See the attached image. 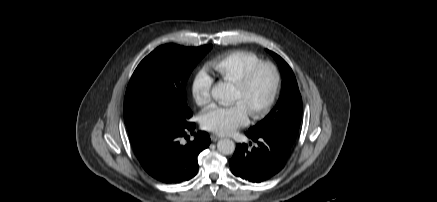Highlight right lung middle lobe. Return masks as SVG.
Here are the masks:
<instances>
[{
    "mask_svg": "<svg viewBox=\"0 0 437 202\" xmlns=\"http://www.w3.org/2000/svg\"><path fill=\"white\" fill-rule=\"evenodd\" d=\"M212 45L188 48L166 44L146 56L135 69L124 98V121L134 148L192 116L186 83Z\"/></svg>",
    "mask_w": 437,
    "mask_h": 202,
    "instance_id": "1",
    "label": "right lung middle lobe"
}]
</instances>
